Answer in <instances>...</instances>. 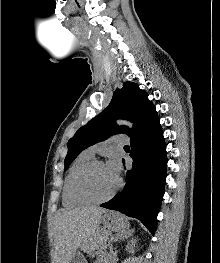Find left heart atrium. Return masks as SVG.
I'll list each match as a JSON object with an SVG mask.
<instances>
[{"label": "left heart atrium", "instance_id": "obj_1", "mask_svg": "<svg viewBox=\"0 0 220 263\" xmlns=\"http://www.w3.org/2000/svg\"><path fill=\"white\" fill-rule=\"evenodd\" d=\"M108 170L116 177L118 178L119 173H120V162L118 158L116 157H111L106 164Z\"/></svg>", "mask_w": 220, "mask_h": 263}]
</instances>
